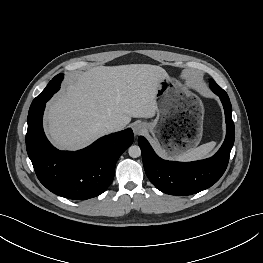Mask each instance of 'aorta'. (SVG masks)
<instances>
[{
    "mask_svg": "<svg viewBox=\"0 0 263 263\" xmlns=\"http://www.w3.org/2000/svg\"><path fill=\"white\" fill-rule=\"evenodd\" d=\"M129 156L132 158H137L141 156V149L137 145H132L128 149Z\"/></svg>",
    "mask_w": 263,
    "mask_h": 263,
    "instance_id": "obj_1",
    "label": "aorta"
}]
</instances>
